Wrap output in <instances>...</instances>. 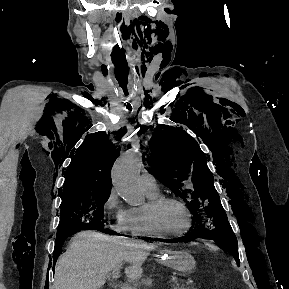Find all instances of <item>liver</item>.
Segmentation results:
<instances>
[{
  "instance_id": "obj_1",
  "label": "liver",
  "mask_w": 289,
  "mask_h": 289,
  "mask_svg": "<svg viewBox=\"0 0 289 289\" xmlns=\"http://www.w3.org/2000/svg\"><path fill=\"white\" fill-rule=\"evenodd\" d=\"M154 247L123 242L95 231L78 233L57 262L55 289H100L110 271L127 262L125 274L130 282L142 276V265Z\"/></svg>"
}]
</instances>
